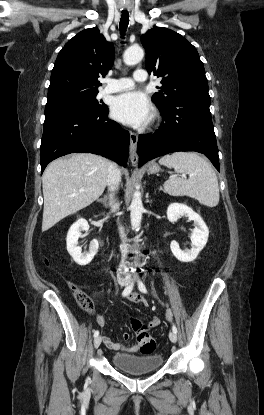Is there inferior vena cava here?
<instances>
[{"mask_svg": "<svg viewBox=\"0 0 264 415\" xmlns=\"http://www.w3.org/2000/svg\"><path fill=\"white\" fill-rule=\"evenodd\" d=\"M120 181H121V173L118 168V165L114 162H110L109 169H108L107 185L109 187V191L111 192L109 204L111 206L112 211H116L119 208V204L115 202L113 196H114L115 190L119 186ZM119 231H120V237L122 239V245L120 246L122 258H121V263L118 268V274L125 275L127 273L125 270L127 269L126 257L128 253V245L126 244V241H125L126 235L124 233L123 227H119Z\"/></svg>", "mask_w": 264, "mask_h": 415, "instance_id": "obj_1", "label": "inferior vena cava"}]
</instances>
